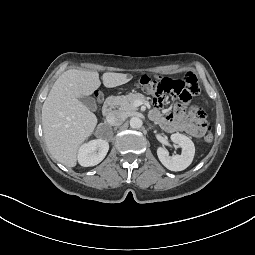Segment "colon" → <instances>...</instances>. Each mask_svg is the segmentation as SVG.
Wrapping results in <instances>:
<instances>
[{
    "label": "colon",
    "mask_w": 255,
    "mask_h": 255,
    "mask_svg": "<svg viewBox=\"0 0 255 255\" xmlns=\"http://www.w3.org/2000/svg\"><path fill=\"white\" fill-rule=\"evenodd\" d=\"M137 83L142 89L154 95L157 105H161L163 96L169 94L177 98L180 106H185L192 96L199 92L197 78L192 72H188L182 80L142 75L138 78ZM193 114L200 123L205 124V113L201 108H194ZM213 138V134L209 131L204 140L210 143Z\"/></svg>",
    "instance_id": "5ec220e1"
}]
</instances>
